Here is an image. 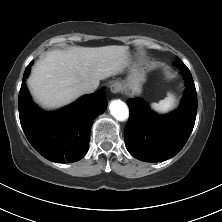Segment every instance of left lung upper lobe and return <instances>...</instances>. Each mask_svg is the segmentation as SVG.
Segmentation results:
<instances>
[{"label": "left lung upper lobe", "instance_id": "left-lung-upper-lobe-1", "mask_svg": "<svg viewBox=\"0 0 222 222\" xmlns=\"http://www.w3.org/2000/svg\"><path fill=\"white\" fill-rule=\"evenodd\" d=\"M176 67L180 69V71L189 70L186 65L177 57L176 58Z\"/></svg>", "mask_w": 222, "mask_h": 222}]
</instances>
